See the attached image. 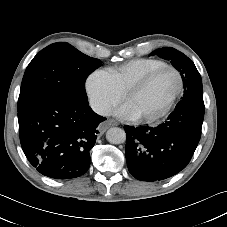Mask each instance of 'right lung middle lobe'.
I'll return each mask as SVG.
<instances>
[{
    "label": "right lung middle lobe",
    "instance_id": "1",
    "mask_svg": "<svg viewBox=\"0 0 227 227\" xmlns=\"http://www.w3.org/2000/svg\"><path fill=\"white\" fill-rule=\"evenodd\" d=\"M101 63L66 42L47 46L25 71L18 111L46 97H63L88 104L85 80Z\"/></svg>",
    "mask_w": 227,
    "mask_h": 227
}]
</instances>
